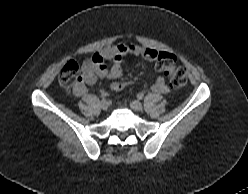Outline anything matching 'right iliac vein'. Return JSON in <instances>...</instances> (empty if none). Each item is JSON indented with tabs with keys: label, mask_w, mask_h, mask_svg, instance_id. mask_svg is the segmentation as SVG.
<instances>
[{
	"label": "right iliac vein",
	"mask_w": 248,
	"mask_h": 194,
	"mask_svg": "<svg viewBox=\"0 0 248 194\" xmlns=\"http://www.w3.org/2000/svg\"><path fill=\"white\" fill-rule=\"evenodd\" d=\"M100 106L103 110H107L109 107V103L106 100L100 102Z\"/></svg>",
	"instance_id": "1"
}]
</instances>
